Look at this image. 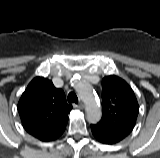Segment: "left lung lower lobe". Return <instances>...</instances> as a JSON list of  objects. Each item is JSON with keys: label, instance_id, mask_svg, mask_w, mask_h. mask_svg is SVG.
I'll return each mask as SVG.
<instances>
[{"label": "left lung lower lobe", "instance_id": "1", "mask_svg": "<svg viewBox=\"0 0 160 158\" xmlns=\"http://www.w3.org/2000/svg\"><path fill=\"white\" fill-rule=\"evenodd\" d=\"M91 131L96 140L103 144H115L126 137L119 133L110 131L99 124L91 125Z\"/></svg>", "mask_w": 160, "mask_h": 158}]
</instances>
